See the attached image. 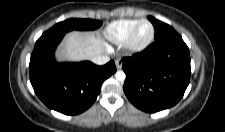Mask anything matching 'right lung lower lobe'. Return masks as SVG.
Segmentation results:
<instances>
[{
    "label": "right lung lower lobe",
    "instance_id": "98d812e1",
    "mask_svg": "<svg viewBox=\"0 0 225 132\" xmlns=\"http://www.w3.org/2000/svg\"><path fill=\"white\" fill-rule=\"evenodd\" d=\"M65 33H43L31 55L32 87L50 109L66 115L87 110L96 100L102 83L116 71L114 61L97 66L89 61L57 63L54 51Z\"/></svg>",
    "mask_w": 225,
    "mask_h": 132
}]
</instances>
